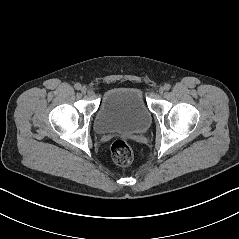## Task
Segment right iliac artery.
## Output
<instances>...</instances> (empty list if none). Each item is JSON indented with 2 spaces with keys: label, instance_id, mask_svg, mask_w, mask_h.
Wrapping results in <instances>:
<instances>
[{
  "label": "right iliac artery",
  "instance_id": "1",
  "mask_svg": "<svg viewBox=\"0 0 239 239\" xmlns=\"http://www.w3.org/2000/svg\"><path fill=\"white\" fill-rule=\"evenodd\" d=\"M74 87H75L76 90H80L81 89V84L80 83H76Z\"/></svg>",
  "mask_w": 239,
  "mask_h": 239
}]
</instances>
